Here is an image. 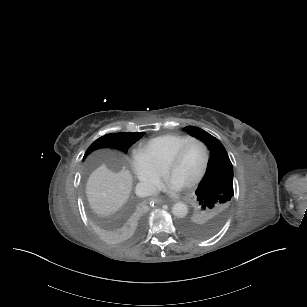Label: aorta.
Listing matches in <instances>:
<instances>
[{
    "label": "aorta",
    "instance_id": "obj_1",
    "mask_svg": "<svg viewBox=\"0 0 307 307\" xmlns=\"http://www.w3.org/2000/svg\"><path fill=\"white\" fill-rule=\"evenodd\" d=\"M188 208L183 202L175 203L172 207V213L178 218H183L187 215Z\"/></svg>",
    "mask_w": 307,
    "mask_h": 307
}]
</instances>
